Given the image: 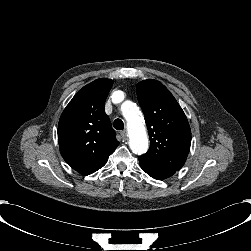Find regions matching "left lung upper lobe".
<instances>
[{
    "mask_svg": "<svg viewBox=\"0 0 251 251\" xmlns=\"http://www.w3.org/2000/svg\"><path fill=\"white\" fill-rule=\"evenodd\" d=\"M137 98L145 116L150 148L142 155L158 165L178 171L191 144L188 120L169 90L159 81L137 84Z\"/></svg>",
    "mask_w": 251,
    "mask_h": 251,
    "instance_id": "left-lung-upper-lobe-1",
    "label": "left lung upper lobe"
}]
</instances>
